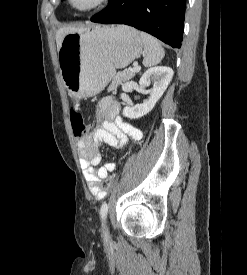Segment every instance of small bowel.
<instances>
[{"mask_svg": "<svg viewBox=\"0 0 247 275\" xmlns=\"http://www.w3.org/2000/svg\"><path fill=\"white\" fill-rule=\"evenodd\" d=\"M120 104L112 98H103L96 105V122L101 125L92 134L77 142L80 164L90 192L97 200L103 199L107 192L100 182L114 171L113 161L99 166L100 147L107 143L112 147L122 148L129 140L137 143L142 139V132L125 122L120 116Z\"/></svg>", "mask_w": 247, "mask_h": 275, "instance_id": "c3829d8e", "label": "small bowel"}]
</instances>
